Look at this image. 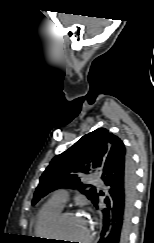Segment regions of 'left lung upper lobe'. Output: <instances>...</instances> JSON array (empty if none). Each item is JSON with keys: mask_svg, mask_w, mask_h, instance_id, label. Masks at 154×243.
<instances>
[{"mask_svg": "<svg viewBox=\"0 0 154 243\" xmlns=\"http://www.w3.org/2000/svg\"><path fill=\"white\" fill-rule=\"evenodd\" d=\"M124 149L123 142L107 129L99 128L84 135L68 150L55 156L46 168L36 188L32 204L58 188H78L91 202L98 189L80 181L82 173L91 169L102 170L107 157Z\"/></svg>", "mask_w": 154, "mask_h": 243, "instance_id": "5c2ea615", "label": "left lung upper lobe"}]
</instances>
